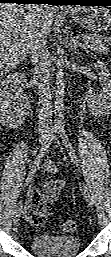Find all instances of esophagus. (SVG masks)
Returning <instances> with one entry per match:
<instances>
[{"label": "esophagus", "instance_id": "1", "mask_svg": "<svg viewBox=\"0 0 111 257\" xmlns=\"http://www.w3.org/2000/svg\"><path fill=\"white\" fill-rule=\"evenodd\" d=\"M67 9H69V8L64 7V6H61V7H60V10H67Z\"/></svg>", "mask_w": 111, "mask_h": 257}]
</instances>
